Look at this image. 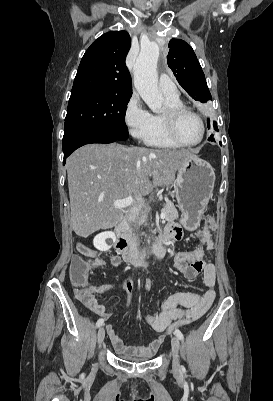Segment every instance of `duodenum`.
<instances>
[{"mask_svg":"<svg viewBox=\"0 0 273 401\" xmlns=\"http://www.w3.org/2000/svg\"><path fill=\"white\" fill-rule=\"evenodd\" d=\"M128 222L126 217L116 227L115 247L122 259L133 265H141L146 261L161 258L168 247V238L163 235L152 248H142L129 239Z\"/></svg>","mask_w":273,"mask_h":401,"instance_id":"duodenum-1","label":"duodenum"}]
</instances>
